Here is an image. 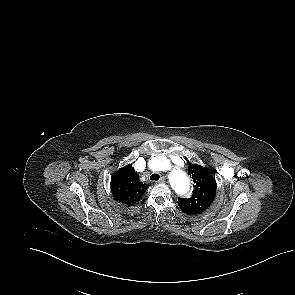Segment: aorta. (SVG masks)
Segmentation results:
<instances>
[{"label": "aorta", "instance_id": "obj_1", "mask_svg": "<svg viewBox=\"0 0 295 295\" xmlns=\"http://www.w3.org/2000/svg\"><path fill=\"white\" fill-rule=\"evenodd\" d=\"M169 180L173 189L179 193L183 194L188 191L189 188V179L186 174L180 170L175 169L169 174Z\"/></svg>", "mask_w": 295, "mask_h": 295}]
</instances>
